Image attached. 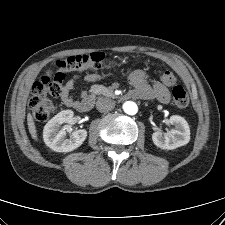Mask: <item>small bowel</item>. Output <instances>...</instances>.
<instances>
[{
	"mask_svg": "<svg viewBox=\"0 0 225 225\" xmlns=\"http://www.w3.org/2000/svg\"><path fill=\"white\" fill-rule=\"evenodd\" d=\"M81 79L84 82H94L100 79V75L92 72L85 73L82 77L72 75L61 88V100L66 106L74 107L79 100L72 91ZM129 82L133 86L131 96L141 99L156 98L162 103H168L170 100L168 86L160 81L151 80L142 70L133 71L129 75Z\"/></svg>",
	"mask_w": 225,
	"mask_h": 225,
	"instance_id": "small-bowel-1",
	"label": "small bowel"
}]
</instances>
